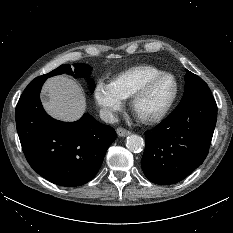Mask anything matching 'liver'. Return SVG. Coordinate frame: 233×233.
Segmentation results:
<instances>
[{
    "label": "liver",
    "instance_id": "6515ba94",
    "mask_svg": "<svg viewBox=\"0 0 233 233\" xmlns=\"http://www.w3.org/2000/svg\"><path fill=\"white\" fill-rule=\"evenodd\" d=\"M43 92L48 97L44 101L45 110L58 120L76 121L85 112L86 101L81 87L66 76L49 78Z\"/></svg>",
    "mask_w": 233,
    "mask_h": 233
}]
</instances>
